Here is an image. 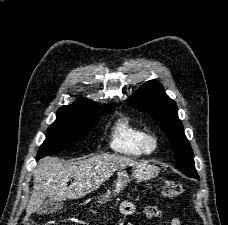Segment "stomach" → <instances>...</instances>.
I'll list each match as a JSON object with an SVG mask.
<instances>
[{
    "mask_svg": "<svg viewBox=\"0 0 228 225\" xmlns=\"http://www.w3.org/2000/svg\"><path fill=\"white\" fill-rule=\"evenodd\" d=\"M129 167H131V173L119 169L114 187L99 197V203H108V201H111L113 197H116L120 191H123L127 187L132 179H135V181H144V179H151L155 175L153 167H148L145 163H137V165H129Z\"/></svg>",
    "mask_w": 228,
    "mask_h": 225,
    "instance_id": "stomach-1",
    "label": "stomach"
}]
</instances>
